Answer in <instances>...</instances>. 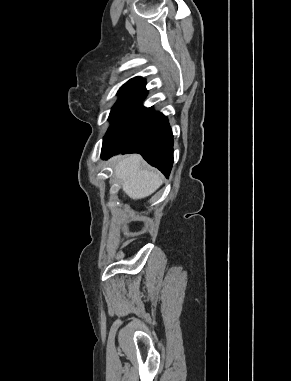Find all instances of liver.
Here are the masks:
<instances>
[{
	"instance_id": "6515ba94",
	"label": "liver",
	"mask_w": 291,
	"mask_h": 381,
	"mask_svg": "<svg viewBox=\"0 0 291 381\" xmlns=\"http://www.w3.org/2000/svg\"><path fill=\"white\" fill-rule=\"evenodd\" d=\"M115 174L122 182L123 191L132 199L151 195L163 182L158 173L143 168V159L138 154L120 159L115 166Z\"/></svg>"
}]
</instances>
